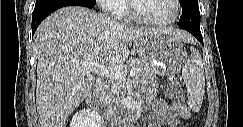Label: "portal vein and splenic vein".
I'll list each match as a JSON object with an SVG mask.
<instances>
[{
    "label": "portal vein and splenic vein",
    "instance_id": "1",
    "mask_svg": "<svg viewBox=\"0 0 243 127\" xmlns=\"http://www.w3.org/2000/svg\"><path fill=\"white\" fill-rule=\"evenodd\" d=\"M80 68L85 73L89 72H94L96 74H99L101 76H105L110 79H119L124 76V71L121 68H109L105 67L97 62H88V63H83L79 65ZM139 73V69L137 68H132L129 72V75L131 77L136 76Z\"/></svg>",
    "mask_w": 243,
    "mask_h": 127
}]
</instances>
